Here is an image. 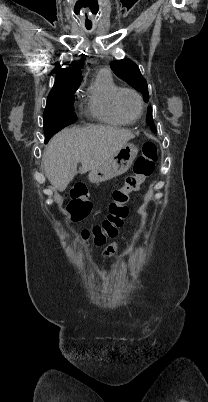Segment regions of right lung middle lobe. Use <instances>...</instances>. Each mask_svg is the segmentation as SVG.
Instances as JSON below:
<instances>
[{
	"instance_id": "1",
	"label": "right lung middle lobe",
	"mask_w": 208,
	"mask_h": 402,
	"mask_svg": "<svg viewBox=\"0 0 208 402\" xmlns=\"http://www.w3.org/2000/svg\"><path fill=\"white\" fill-rule=\"evenodd\" d=\"M75 91L71 90L48 96L44 110V123L61 121L69 125L77 120V116L73 112V94ZM45 143H47L46 140Z\"/></svg>"
}]
</instances>
